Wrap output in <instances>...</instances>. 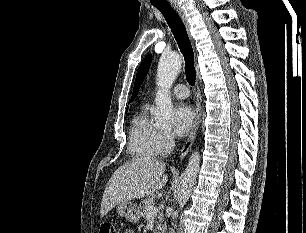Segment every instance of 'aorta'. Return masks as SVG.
Segmentation results:
<instances>
[{"instance_id":"762f6f07","label":"aorta","mask_w":306,"mask_h":233,"mask_svg":"<svg viewBox=\"0 0 306 233\" xmlns=\"http://www.w3.org/2000/svg\"><path fill=\"white\" fill-rule=\"evenodd\" d=\"M182 66V59L179 54L162 55L157 69V84L160 91L156 95L154 112L155 124L160 128L169 127L173 120V104L168 89L173 85ZM200 165V154L193 152L189 157L187 167L183 174L181 189L178 196V203L182 208L189 200L193 190Z\"/></svg>"}]
</instances>
